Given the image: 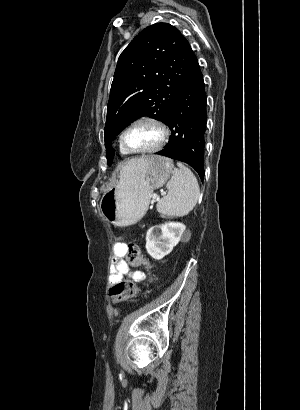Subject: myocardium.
Returning a JSON list of instances; mask_svg holds the SVG:
<instances>
[{
  "label": "myocardium",
  "mask_w": 300,
  "mask_h": 410,
  "mask_svg": "<svg viewBox=\"0 0 300 410\" xmlns=\"http://www.w3.org/2000/svg\"><path fill=\"white\" fill-rule=\"evenodd\" d=\"M143 122H148V123H152L154 125H156L160 132H161V138L160 141L152 148H148V149H131L129 147L126 146L125 141H124V137L126 132L133 127L136 124L139 123H143ZM170 136V131L168 126L165 124V122H163L161 119L154 117V116H142L139 117L135 120H133L132 122H130L120 133L119 136V143L122 149H124L125 151H127L129 154H152V153H156L158 151H160L161 149H163V147L166 145L168 139Z\"/></svg>",
  "instance_id": "1"
}]
</instances>
